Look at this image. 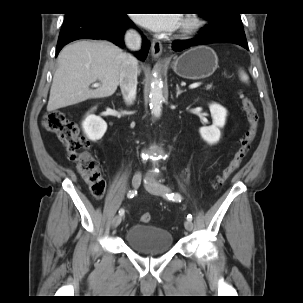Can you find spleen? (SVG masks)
I'll return each instance as SVG.
<instances>
[{"instance_id": "1", "label": "spleen", "mask_w": 303, "mask_h": 303, "mask_svg": "<svg viewBox=\"0 0 303 303\" xmlns=\"http://www.w3.org/2000/svg\"><path fill=\"white\" fill-rule=\"evenodd\" d=\"M239 78L242 82L248 83L249 82V76L243 71H239Z\"/></svg>"}]
</instances>
